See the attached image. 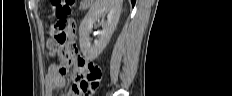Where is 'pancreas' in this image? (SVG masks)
Wrapping results in <instances>:
<instances>
[{
    "label": "pancreas",
    "mask_w": 232,
    "mask_h": 96,
    "mask_svg": "<svg viewBox=\"0 0 232 96\" xmlns=\"http://www.w3.org/2000/svg\"><path fill=\"white\" fill-rule=\"evenodd\" d=\"M90 5H91L90 3H88V4H82V5L80 6V9H81V10H86Z\"/></svg>",
    "instance_id": "pancreas-1"
}]
</instances>
